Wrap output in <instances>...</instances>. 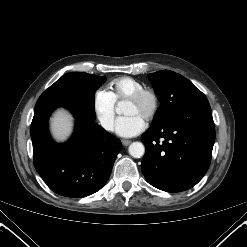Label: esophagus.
Returning <instances> with one entry per match:
<instances>
[{"label": "esophagus", "instance_id": "obj_1", "mask_svg": "<svg viewBox=\"0 0 247 247\" xmlns=\"http://www.w3.org/2000/svg\"><path fill=\"white\" fill-rule=\"evenodd\" d=\"M130 143H131L130 140H126V139H123V140H122V144H123L124 146H128Z\"/></svg>", "mask_w": 247, "mask_h": 247}]
</instances>
